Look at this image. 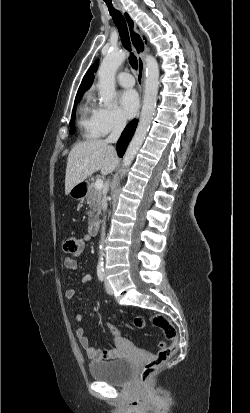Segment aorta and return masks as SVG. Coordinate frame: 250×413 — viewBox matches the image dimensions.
Segmentation results:
<instances>
[{
    "label": "aorta",
    "mask_w": 250,
    "mask_h": 413,
    "mask_svg": "<svg viewBox=\"0 0 250 413\" xmlns=\"http://www.w3.org/2000/svg\"><path fill=\"white\" fill-rule=\"evenodd\" d=\"M125 58L126 53L124 51H113L103 58L99 67L98 88L100 101L106 106L110 104L115 95V73ZM145 61L146 81L143 107L137 129L123 157L122 176L125 175L127 168L131 165L145 140L156 107L159 67L156 59L150 55L146 56ZM100 249H102V246H100ZM102 255L101 251L99 262L103 260Z\"/></svg>",
    "instance_id": "1"
}]
</instances>
